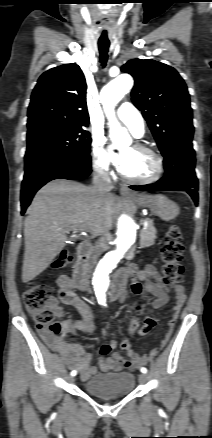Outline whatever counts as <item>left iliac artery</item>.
Wrapping results in <instances>:
<instances>
[{
	"label": "left iliac artery",
	"mask_w": 212,
	"mask_h": 438,
	"mask_svg": "<svg viewBox=\"0 0 212 438\" xmlns=\"http://www.w3.org/2000/svg\"><path fill=\"white\" fill-rule=\"evenodd\" d=\"M140 370L142 373H147V369L145 367H142Z\"/></svg>",
	"instance_id": "left-iliac-artery-1"
}]
</instances>
